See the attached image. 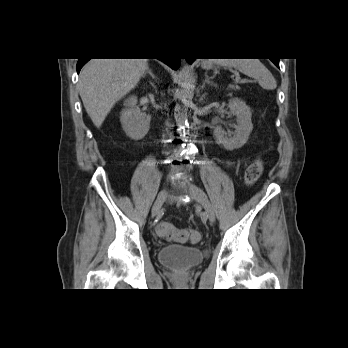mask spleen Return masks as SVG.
<instances>
[{
  "mask_svg": "<svg viewBox=\"0 0 348 348\" xmlns=\"http://www.w3.org/2000/svg\"><path fill=\"white\" fill-rule=\"evenodd\" d=\"M213 63L238 69L243 74L256 79L266 90H273L277 83L272 73L258 59H213Z\"/></svg>",
  "mask_w": 348,
  "mask_h": 348,
  "instance_id": "spleen-1",
  "label": "spleen"
}]
</instances>
